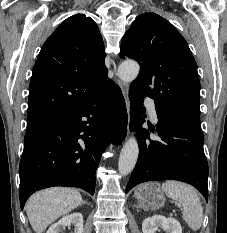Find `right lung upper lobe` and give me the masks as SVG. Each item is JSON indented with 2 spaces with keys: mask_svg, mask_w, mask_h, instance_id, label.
<instances>
[{
  "mask_svg": "<svg viewBox=\"0 0 227 233\" xmlns=\"http://www.w3.org/2000/svg\"><path fill=\"white\" fill-rule=\"evenodd\" d=\"M105 50L90 17L66 19L41 48L30 81L27 130L80 107L108 86Z\"/></svg>",
  "mask_w": 227,
  "mask_h": 233,
  "instance_id": "right-lung-upper-lobe-1",
  "label": "right lung upper lobe"
}]
</instances>
